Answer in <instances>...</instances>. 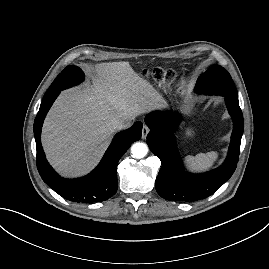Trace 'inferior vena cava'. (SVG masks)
I'll list each match as a JSON object with an SVG mask.
<instances>
[{
	"label": "inferior vena cava",
	"instance_id": "inferior-vena-cava-1",
	"mask_svg": "<svg viewBox=\"0 0 269 269\" xmlns=\"http://www.w3.org/2000/svg\"><path fill=\"white\" fill-rule=\"evenodd\" d=\"M132 119H127L118 123L117 128L119 130L128 128L131 125Z\"/></svg>",
	"mask_w": 269,
	"mask_h": 269
}]
</instances>
